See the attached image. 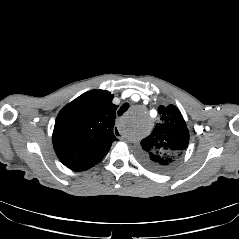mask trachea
Segmentation results:
<instances>
[{
  "instance_id": "trachea-1",
  "label": "trachea",
  "mask_w": 239,
  "mask_h": 239,
  "mask_svg": "<svg viewBox=\"0 0 239 239\" xmlns=\"http://www.w3.org/2000/svg\"><path fill=\"white\" fill-rule=\"evenodd\" d=\"M128 108H129L128 103L123 104L118 110V116H121Z\"/></svg>"
}]
</instances>
